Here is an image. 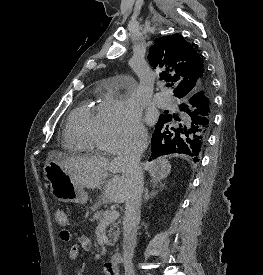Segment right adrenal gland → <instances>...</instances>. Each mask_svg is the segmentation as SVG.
<instances>
[{
	"label": "right adrenal gland",
	"mask_w": 263,
	"mask_h": 275,
	"mask_svg": "<svg viewBox=\"0 0 263 275\" xmlns=\"http://www.w3.org/2000/svg\"><path fill=\"white\" fill-rule=\"evenodd\" d=\"M151 186L153 188V190L151 192H149L148 188H145L144 192V200L147 202L151 197L156 196L158 194L159 191H162L164 189V185L162 183H158V182H151ZM157 189V190H155Z\"/></svg>",
	"instance_id": "1"
}]
</instances>
